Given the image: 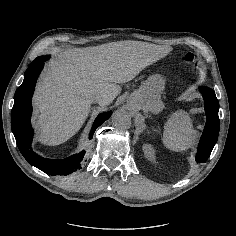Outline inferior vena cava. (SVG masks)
<instances>
[{"instance_id": "obj_1", "label": "inferior vena cava", "mask_w": 236, "mask_h": 236, "mask_svg": "<svg viewBox=\"0 0 236 236\" xmlns=\"http://www.w3.org/2000/svg\"><path fill=\"white\" fill-rule=\"evenodd\" d=\"M109 101L110 98L105 96H96L94 99V102L99 103L100 105H106Z\"/></svg>"}]
</instances>
